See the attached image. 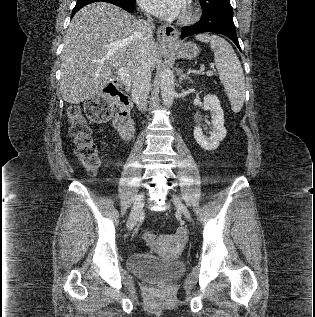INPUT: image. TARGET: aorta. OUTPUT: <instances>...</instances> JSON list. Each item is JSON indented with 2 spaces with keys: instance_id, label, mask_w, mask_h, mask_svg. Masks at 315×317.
<instances>
[{
  "instance_id": "762f6f07",
  "label": "aorta",
  "mask_w": 315,
  "mask_h": 317,
  "mask_svg": "<svg viewBox=\"0 0 315 317\" xmlns=\"http://www.w3.org/2000/svg\"><path fill=\"white\" fill-rule=\"evenodd\" d=\"M161 97L165 106L170 107L174 100L175 85L174 74L168 69L164 68L161 72L160 79Z\"/></svg>"
}]
</instances>
